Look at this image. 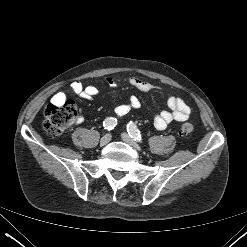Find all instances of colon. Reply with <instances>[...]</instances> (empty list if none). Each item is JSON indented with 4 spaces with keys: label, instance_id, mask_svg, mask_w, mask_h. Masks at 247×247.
<instances>
[{
    "label": "colon",
    "instance_id": "5ec220e1",
    "mask_svg": "<svg viewBox=\"0 0 247 247\" xmlns=\"http://www.w3.org/2000/svg\"><path fill=\"white\" fill-rule=\"evenodd\" d=\"M77 111L75 105L70 101L62 103H50L44 112V128L52 136L62 134L76 119ZM194 127L191 123H184L180 132L183 136L191 134Z\"/></svg>",
    "mask_w": 247,
    "mask_h": 247
}]
</instances>
